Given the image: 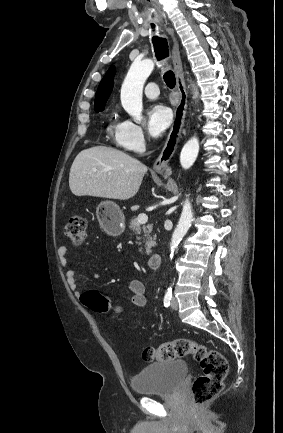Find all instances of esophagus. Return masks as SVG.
Listing matches in <instances>:
<instances>
[{"label":"esophagus","instance_id":"obj_1","mask_svg":"<svg viewBox=\"0 0 283 433\" xmlns=\"http://www.w3.org/2000/svg\"><path fill=\"white\" fill-rule=\"evenodd\" d=\"M167 32L171 35L173 40L172 47V61L174 65V70L176 74V84L179 92V103L174 112V120L168 134V138L166 143L158 156L157 160L153 165V169L156 172H163L165 174L171 173V168L168 166L169 160L172 158L176 147L178 145V141L182 132V128L185 122L186 109H187V92L186 85L184 80L182 61L180 56L179 44L174 35V31L172 28H167Z\"/></svg>","mask_w":283,"mask_h":433}]
</instances>
